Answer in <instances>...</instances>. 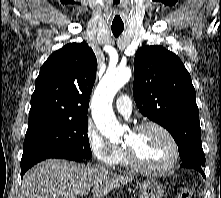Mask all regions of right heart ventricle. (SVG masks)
<instances>
[{
  "label": "right heart ventricle",
  "mask_w": 221,
  "mask_h": 198,
  "mask_svg": "<svg viewBox=\"0 0 221 198\" xmlns=\"http://www.w3.org/2000/svg\"><path fill=\"white\" fill-rule=\"evenodd\" d=\"M116 164H119V165H121V166H123L125 168H129L130 167L128 162H127L126 155H125V152H124L123 148H120L119 156H118Z\"/></svg>",
  "instance_id": "obj_1"
}]
</instances>
